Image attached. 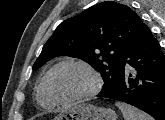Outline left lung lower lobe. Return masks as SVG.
<instances>
[{
  "mask_svg": "<svg viewBox=\"0 0 165 120\" xmlns=\"http://www.w3.org/2000/svg\"><path fill=\"white\" fill-rule=\"evenodd\" d=\"M99 97L128 103L155 120H165V56L147 26L124 55L119 85Z\"/></svg>",
  "mask_w": 165,
  "mask_h": 120,
  "instance_id": "0a47b994",
  "label": "left lung lower lobe"
}]
</instances>
